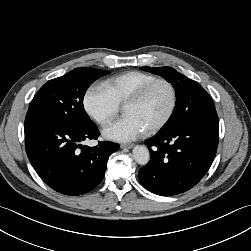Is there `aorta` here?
Returning <instances> with one entry per match:
<instances>
[{
  "label": "aorta",
  "mask_w": 251,
  "mask_h": 251,
  "mask_svg": "<svg viewBox=\"0 0 251 251\" xmlns=\"http://www.w3.org/2000/svg\"><path fill=\"white\" fill-rule=\"evenodd\" d=\"M133 158L139 165H146L150 160V153L147 147L137 145L133 149Z\"/></svg>",
  "instance_id": "1"
}]
</instances>
